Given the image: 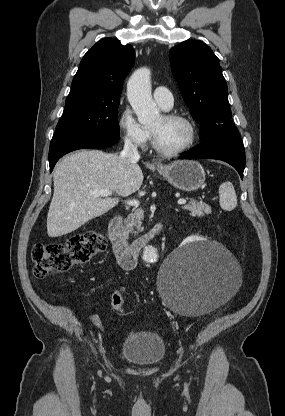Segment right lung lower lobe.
I'll use <instances>...</instances> for the list:
<instances>
[{
  "mask_svg": "<svg viewBox=\"0 0 285 416\" xmlns=\"http://www.w3.org/2000/svg\"><path fill=\"white\" fill-rule=\"evenodd\" d=\"M119 140V135L67 133L55 134L49 148L50 172L56 162L65 154L78 149H102Z\"/></svg>",
  "mask_w": 285,
  "mask_h": 416,
  "instance_id": "98d812e1",
  "label": "right lung lower lobe"
}]
</instances>
